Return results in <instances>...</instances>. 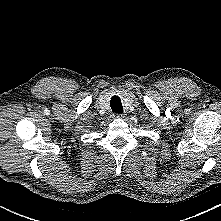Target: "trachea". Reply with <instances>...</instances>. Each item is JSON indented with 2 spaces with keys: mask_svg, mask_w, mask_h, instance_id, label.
I'll return each instance as SVG.
<instances>
[{
  "mask_svg": "<svg viewBox=\"0 0 221 221\" xmlns=\"http://www.w3.org/2000/svg\"><path fill=\"white\" fill-rule=\"evenodd\" d=\"M110 106L114 113H122L123 107L121 99L118 96H113L110 100Z\"/></svg>",
  "mask_w": 221,
  "mask_h": 221,
  "instance_id": "obj_1",
  "label": "trachea"
}]
</instances>
